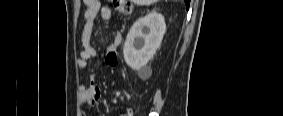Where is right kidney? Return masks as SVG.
<instances>
[{"mask_svg": "<svg viewBox=\"0 0 283 116\" xmlns=\"http://www.w3.org/2000/svg\"><path fill=\"white\" fill-rule=\"evenodd\" d=\"M166 24L163 15L151 12L131 27L123 47L126 64L133 70L144 67L160 47Z\"/></svg>", "mask_w": 283, "mask_h": 116, "instance_id": "obj_1", "label": "right kidney"}]
</instances>
